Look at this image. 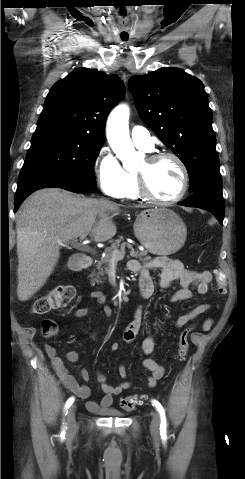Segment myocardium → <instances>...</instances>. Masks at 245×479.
Masks as SVG:
<instances>
[{
	"label": "myocardium",
	"mask_w": 245,
	"mask_h": 479,
	"mask_svg": "<svg viewBox=\"0 0 245 479\" xmlns=\"http://www.w3.org/2000/svg\"><path fill=\"white\" fill-rule=\"evenodd\" d=\"M166 158L172 159L179 166L181 175H182V184L176 196L168 200H163L158 198L151 192L148 185L147 169L151 167L154 163ZM146 164H147V168L136 172L138 191L140 196L143 199L154 204L168 206V205H172L179 202L185 196L189 188L190 177H189L188 168L180 156L170 151L155 152L153 154H150L146 158Z\"/></svg>",
	"instance_id": "f54148a6"
}]
</instances>
